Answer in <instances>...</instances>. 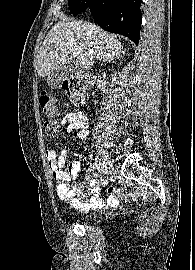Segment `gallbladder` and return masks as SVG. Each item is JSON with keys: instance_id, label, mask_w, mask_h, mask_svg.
Here are the masks:
<instances>
[{"instance_id": "obj_1", "label": "gallbladder", "mask_w": 195, "mask_h": 270, "mask_svg": "<svg viewBox=\"0 0 195 270\" xmlns=\"http://www.w3.org/2000/svg\"><path fill=\"white\" fill-rule=\"evenodd\" d=\"M72 69V63H63L56 67L54 71L48 76L47 84L52 89H57L60 87V84L65 80L71 77L74 74Z\"/></svg>"}]
</instances>
